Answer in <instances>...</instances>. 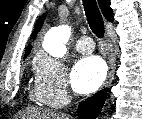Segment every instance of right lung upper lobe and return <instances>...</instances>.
Returning <instances> with one entry per match:
<instances>
[{"label":"right lung upper lobe","mask_w":142,"mask_h":119,"mask_svg":"<svg viewBox=\"0 0 142 119\" xmlns=\"http://www.w3.org/2000/svg\"><path fill=\"white\" fill-rule=\"evenodd\" d=\"M98 3H99V6L101 8V11H102L104 17L107 20L112 21V19H113V12H112V9L110 8V0H98ZM42 20H43L42 17L38 20V22L36 24V27H35L36 30H40ZM35 37H36V32L34 31L33 34H32V36H31V38L33 39ZM31 48H32V46L28 45L26 54L30 53Z\"/></svg>","instance_id":"right-lung-upper-lobe-1"}]
</instances>
